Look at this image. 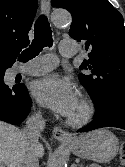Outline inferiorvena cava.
Returning <instances> with one entry per match:
<instances>
[{"label":"inferior vena cava","instance_id":"obj_1","mask_svg":"<svg viewBox=\"0 0 125 167\" xmlns=\"http://www.w3.org/2000/svg\"><path fill=\"white\" fill-rule=\"evenodd\" d=\"M44 127L45 121L40 112L31 115L27 119L26 126L22 130V136L26 145L24 167H39L37 144Z\"/></svg>","mask_w":125,"mask_h":167}]
</instances>
